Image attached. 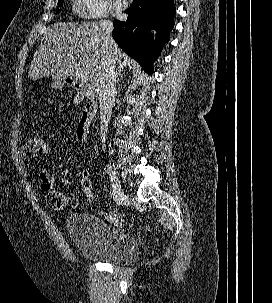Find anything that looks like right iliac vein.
I'll return each mask as SVG.
<instances>
[{
    "mask_svg": "<svg viewBox=\"0 0 272 303\" xmlns=\"http://www.w3.org/2000/svg\"><path fill=\"white\" fill-rule=\"evenodd\" d=\"M107 170L110 176V180L112 182L113 190L117 196L118 204H122L124 200V192L119 177L117 176L110 164L107 165Z\"/></svg>",
    "mask_w": 272,
    "mask_h": 303,
    "instance_id": "1",
    "label": "right iliac vein"
}]
</instances>
